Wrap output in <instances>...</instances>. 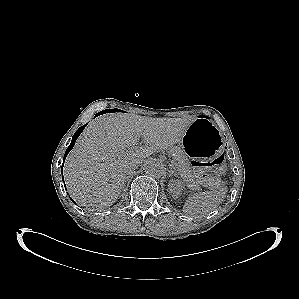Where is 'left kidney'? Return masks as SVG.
I'll list each match as a JSON object with an SVG mask.
<instances>
[{"label":"left kidney","instance_id":"5707ae66","mask_svg":"<svg viewBox=\"0 0 299 299\" xmlns=\"http://www.w3.org/2000/svg\"><path fill=\"white\" fill-rule=\"evenodd\" d=\"M168 190L173 198H178L183 190V184L180 180H170Z\"/></svg>","mask_w":299,"mask_h":299}]
</instances>
